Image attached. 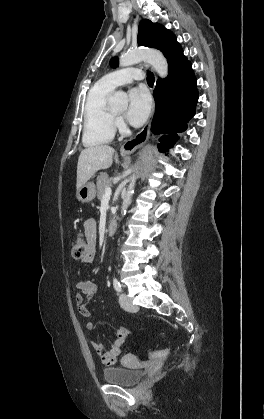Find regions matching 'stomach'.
I'll return each instance as SVG.
<instances>
[{"label":"stomach","instance_id":"1","mask_svg":"<svg viewBox=\"0 0 264 419\" xmlns=\"http://www.w3.org/2000/svg\"><path fill=\"white\" fill-rule=\"evenodd\" d=\"M95 196L96 188L93 182H86L76 192L77 199L83 203H88L92 201L95 198Z\"/></svg>","mask_w":264,"mask_h":419}]
</instances>
